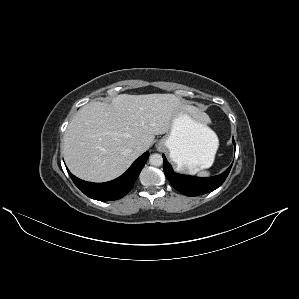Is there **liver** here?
Instances as JSON below:
<instances>
[{
  "label": "liver",
  "mask_w": 299,
  "mask_h": 299,
  "mask_svg": "<svg viewBox=\"0 0 299 299\" xmlns=\"http://www.w3.org/2000/svg\"><path fill=\"white\" fill-rule=\"evenodd\" d=\"M180 100L173 94H121L111 104L95 101L82 107L63 138L64 159L77 177L105 182L123 174L155 135L170 130ZM145 150V151H146Z\"/></svg>",
  "instance_id": "liver-1"
}]
</instances>
